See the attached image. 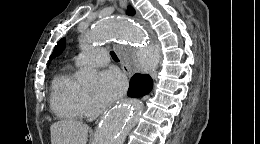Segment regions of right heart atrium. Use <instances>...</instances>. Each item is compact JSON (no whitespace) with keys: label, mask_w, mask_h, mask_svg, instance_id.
Masks as SVG:
<instances>
[{"label":"right heart atrium","mask_w":260,"mask_h":144,"mask_svg":"<svg viewBox=\"0 0 260 144\" xmlns=\"http://www.w3.org/2000/svg\"><path fill=\"white\" fill-rule=\"evenodd\" d=\"M85 111H88L92 107L91 99L88 95H84Z\"/></svg>","instance_id":"obj_1"}]
</instances>
